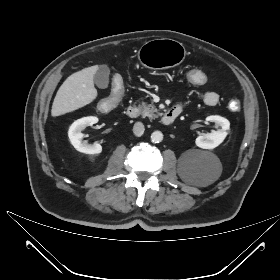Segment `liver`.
I'll list each match as a JSON object with an SVG mask.
<instances>
[{
	"label": "liver",
	"mask_w": 280,
	"mask_h": 280,
	"mask_svg": "<svg viewBox=\"0 0 280 280\" xmlns=\"http://www.w3.org/2000/svg\"><path fill=\"white\" fill-rule=\"evenodd\" d=\"M99 66H91L70 75L60 86L54 98L51 115L60 116L82 108L97 97L94 74Z\"/></svg>",
	"instance_id": "liver-1"
}]
</instances>
